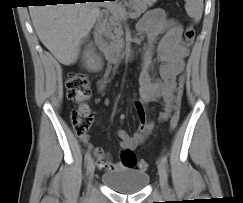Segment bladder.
Here are the masks:
<instances>
[{
    "label": "bladder",
    "mask_w": 243,
    "mask_h": 203,
    "mask_svg": "<svg viewBox=\"0 0 243 203\" xmlns=\"http://www.w3.org/2000/svg\"><path fill=\"white\" fill-rule=\"evenodd\" d=\"M103 183L120 194H135L140 192L149 181V174L143 170L119 168L105 172Z\"/></svg>",
    "instance_id": "obj_1"
}]
</instances>
